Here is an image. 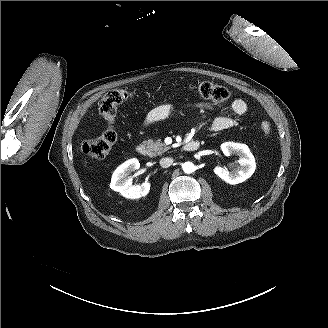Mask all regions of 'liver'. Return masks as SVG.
<instances>
[{"label":"liver","mask_w":328,"mask_h":328,"mask_svg":"<svg viewBox=\"0 0 328 328\" xmlns=\"http://www.w3.org/2000/svg\"><path fill=\"white\" fill-rule=\"evenodd\" d=\"M81 165H82V167H87V160H86V158L85 157H83V158H81Z\"/></svg>","instance_id":"1"}]
</instances>
